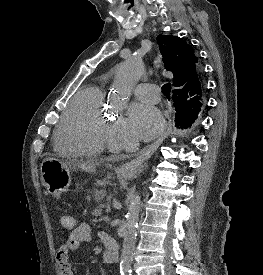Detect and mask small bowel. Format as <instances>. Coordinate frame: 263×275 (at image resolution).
Instances as JSON below:
<instances>
[{
	"label": "small bowel",
	"instance_id": "obj_1",
	"mask_svg": "<svg viewBox=\"0 0 263 275\" xmlns=\"http://www.w3.org/2000/svg\"><path fill=\"white\" fill-rule=\"evenodd\" d=\"M91 240L92 229L87 223H81L68 234L56 254V261L61 275H74L70 262V253L76 251L82 243H89Z\"/></svg>",
	"mask_w": 263,
	"mask_h": 275
}]
</instances>
